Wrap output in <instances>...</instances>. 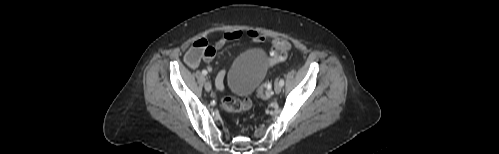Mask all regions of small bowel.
<instances>
[{
    "label": "small bowel",
    "instance_id": "c3829d8e",
    "mask_svg": "<svg viewBox=\"0 0 499 154\" xmlns=\"http://www.w3.org/2000/svg\"><path fill=\"white\" fill-rule=\"evenodd\" d=\"M241 38H248V39L253 40L255 42H261L264 39L260 33L253 31V30L228 31V32L224 33L223 36L215 42L214 47L216 50H221L226 46L227 43L235 41V40H239ZM207 61L210 62L211 59H207ZM197 65H198V62L191 64L192 67H196ZM213 68L214 67L211 64L208 65L209 71H212ZM226 71H227V67L221 69L217 75V78H216L217 86L220 90L224 89L223 79H224Z\"/></svg>",
    "mask_w": 499,
    "mask_h": 154
}]
</instances>
